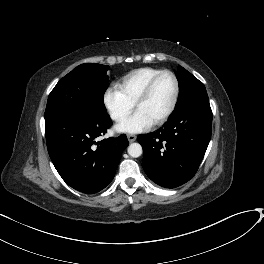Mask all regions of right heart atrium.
<instances>
[{
	"instance_id": "d8ad5b80",
	"label": "right heart atrium",
	"mask_w": 264,
	"mask_h": 264,
	"mask_svg": "<svg viewBox=\"0 0 264 264\" xmlns=\"http://www.w3.org/2000/svg\"><path fill=\"white\" fill-rule=\"evenodd\" d=\"M103 102L111 118L116 122L124 120L134 108V104L116 86L106 90Z\"/></svg>"
}]
</instances>
